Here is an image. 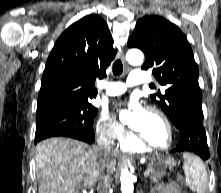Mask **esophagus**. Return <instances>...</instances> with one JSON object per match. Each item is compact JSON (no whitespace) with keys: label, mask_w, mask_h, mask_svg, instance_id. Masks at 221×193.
<instances>
[{"label":"esophagus","mask_w":221,"mask_h":193,"mask_svg":"<svg viewBox=\"0 0 221 193\" xmlns=\"http://www.w3.org/2000/svg\"><path fill=\"white\" fill-rule=\"evenodd\" d=\"M119 57H120V59L122 60V62H123L124 64H126V59H125V55H124V52H123V51H121V52L119 53Z\"/></svg>","instance_id":"obj_1"}]
</instances>
